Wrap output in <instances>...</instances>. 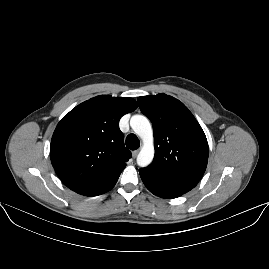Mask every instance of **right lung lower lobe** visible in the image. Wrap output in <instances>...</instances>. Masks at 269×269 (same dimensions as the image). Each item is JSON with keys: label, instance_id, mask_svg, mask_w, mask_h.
Listing matches in <instances>:
<instances>
[{"label": "right lung lower lobe", "instance_id": "98d812e1", "mask_svg": "<svg viewBox=\"0 0 269 269\" xmlns=\"http://www.w3.org/2000/svg\"><path fill=\"white\" fill-rule=\"evenodd\" d=\"M118 179L113 180L112 182L103 185V186H99V187H95V188H88V189H83L78 191V194L84 195V196H97L103 193L108 192L109 190H111L114 185L116 184Z\"/></svg>", "mask_w": 269, "mask_h": 269}]
</instances>
